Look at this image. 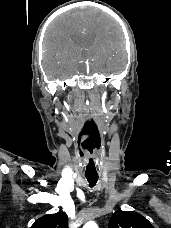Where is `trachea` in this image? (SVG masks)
<instances>
[{"label": "trachea", "mask_w": 171, "mask_h": 228, "mask_svg": "<svg viewBox=\"0 0 171 228\" xmlns=\"http://www.w3.org/2000/svg\"><path fill=\"white\" fill-rule=\"evenodd\" d=\"M86 178H87V180H88V182L90 184V187H93L96 184L97 180H98V176L86 175Z\"/></svg>", "instance_id": "trachea-1"}]
</instances>
